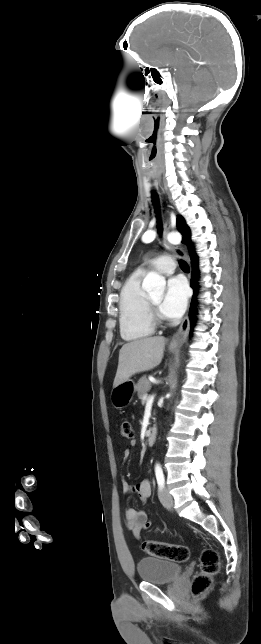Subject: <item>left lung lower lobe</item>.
I'll return each mask as SVG.
<instances>
[{"mask_svg": "<svg viewBox=\"0 0 261 644\" xmlns=\"http://www.w3.org/2000/svg\"><path fill=\"white\" fill-rule=\"evenodd\" d=\"M191 265H192V275H191V287L194 290V295L192 298V302L190 305V310H189V317L191 321V328L194 327V322H195V312H196V295H197V289H198V277H199V271H198V261L197 257L191 259Z\"/></svg>", "mask_w": 261, "mask_h": 644, "instance_id": "left-lung-lower-lobe-1", "label": "left lung lower lobe"}]
</instances>
